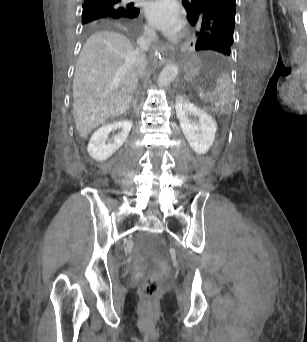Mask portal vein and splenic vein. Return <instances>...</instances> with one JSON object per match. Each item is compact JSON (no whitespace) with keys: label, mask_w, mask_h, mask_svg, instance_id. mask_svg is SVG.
<instances>
[{"label":"portal vein and splenic vein","mask_w":307,"mask_h":342,"mask_svg":"<svg viewBox=\"0 0 307 342\" xmlns=\"http://www.w3.org/2000/svg\"><path fill=\"white\" fill-rule=\"evenodd\" d=\"M199 91L201 92L200 94H201L202 96H204V95L206 94V93L204 92L205 90L202 89V88H201Z\"/></svg>","instance_id":"obj_1"}]
</instances>
